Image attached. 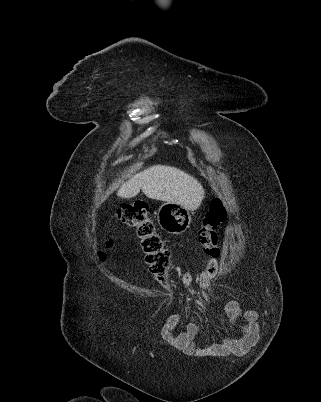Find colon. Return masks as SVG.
Returning a JSON list of instances; mask_svg holds the SVG:
<instances>
[{"instance_id":"5ec220e1","label":"colon","mask_w":321,"mask_h":402,"mask_svg":"<svg viewBox=\"0 0 321 402\" xmlns=\"http://www.w3.org/2000/svg\"><path fill=\"white\" fill-rule=\"evenodd\" d=\"M116 218L132 228L140 241L149 270L156 276L165 292L172 290L169 280L170 253L165 240L156 229L149 207L144 202H134L121 206ZM227 218V209L222 200H214L202 218L198 232V242L207 258L203 274H197L199 294H212L213 287L208 285L219 267L220 246L217 229Z\"/></svg>"}]
</instances>
